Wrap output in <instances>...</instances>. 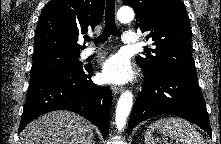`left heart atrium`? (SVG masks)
<instances>
[{
	"label": "left heart atrium",
	"mask_w": 221,
	"mask_h": 144,
	"mask_svg": "<svg viewBox=\"0 0 221 144\" xmlns=\"http://www.w3.org/2000/svg\"><path fill=\"white\" fill-rule=\"evenodd\" d=\"M101 78L106 83L123 84L133 78L130 61L122 54L109 57L102 65Z\"/></svg>",
	"instance_id": "1"
}]
</instances>
